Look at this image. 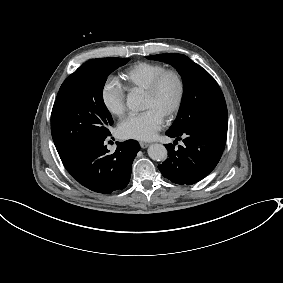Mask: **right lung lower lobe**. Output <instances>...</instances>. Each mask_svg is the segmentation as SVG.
<instances>
[{
    "instance_id": "1",
    "label": "right lung lower lobe",
    "mask_w": 283,
    "mask_h": 283,
    "mask_svg": "<svg viewBox=\"0 0 283 283\" xmlns=\"http://www.w3.org/2000/svg\"><path fill=\"white\" fill-rule=\"evenodd\" d=\"M106 137L96 138L61 159L74 179L86 188L103 194L122 190L127 186L132 162L140 150L137 141L128 140L117 142L115 152L109 154L104 145Z\"/></svg>"
}]
</instances>
